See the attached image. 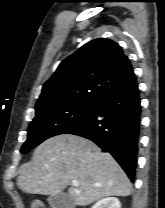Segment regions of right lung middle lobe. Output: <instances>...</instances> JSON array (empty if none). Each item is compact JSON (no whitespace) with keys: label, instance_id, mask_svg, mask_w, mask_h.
Masks as SVG:
<instances>
[{"label":"right lung middle lobe","instance_id":"obj_1","mask_svg":"<svg viewBox=\"0 0 165 208\" xmlns=\"http://www.w3.org/2000/svg\"><path fill=\"white\" fill-rule=\"evenodd\" d=\"M97 102L70 101L47 105L36 109V116L28 128V139L21 153L28 152L44 140L67 133L92 112Z\"/></svg>","mask_w":165,"mask_h":208}]
</instances>
